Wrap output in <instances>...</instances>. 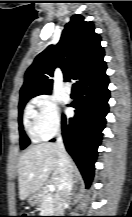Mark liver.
<instances>
[{
    "label": "liver",
    "mask_w": 132,
    "mask_h": 217,
    "mask_svg": "<svg viewBox=\"0 0 132 217\" xmlns=\"http://www.w3.org/2000/svg\"><path fill=\"white\" fill-rule=\"evenodd\" d=\"M73 171L76 170L72 162ZM19 197L25 200L32 193L40 191L50 179L58 189L60 171L58 166V148L56 143H39L30 146L19 159L18 164Z\"/></svg>",
    "instance_id": "1"
}]
</instances>
